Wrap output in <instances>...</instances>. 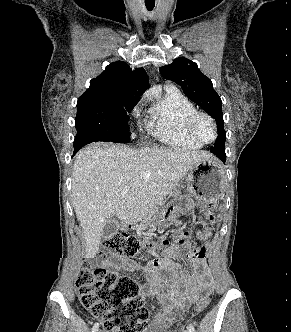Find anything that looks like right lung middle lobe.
<instances>
[{
  "mask_svg": "<svg viewBox=\"0 0 291 332\" xmlns=\"http://www.w3.org/2000/svg\"><path fill=\"white\" fill-rule=\"evenodd\" d=\"M137 102L127 98L78 100L74 149L78 150L86 144L97 141L129 142L127 112L132 110Z\"/></svg>",
  "mask_w": 291,
  "mask_h": 332,
  "instance_id": "1",
  "label": "right lung middle lobe"
}]
</instances>
